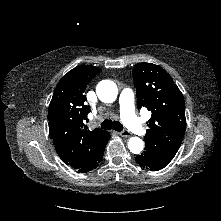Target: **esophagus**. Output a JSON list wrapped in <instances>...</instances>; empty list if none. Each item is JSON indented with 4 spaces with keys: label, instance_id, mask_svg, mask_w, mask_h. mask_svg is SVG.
Returning <instances> with one entry per match:
<instances>
[{
    "label": "esophagus",
    "instance_id": "esophagus-1",
    "mask_svg": "<svg viewBox=\"0 0 221 221\" xmlns=\"http://www.w3.org/2000/svg\"><path fill=\"white\" fill-rule=\"evenodd\" d=\"M118 134H119L121 137H125V138H128V137L131 136V133H130L128 130H124V131L118 132Z\"/></svg>",
    "mask_w": 221,
    "mask_h": 221
}]
</instances>
